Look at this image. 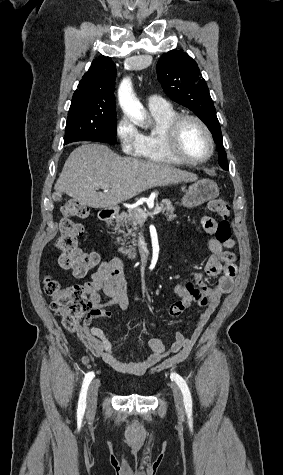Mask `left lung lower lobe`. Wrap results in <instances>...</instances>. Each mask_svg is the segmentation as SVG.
<instances>
[{"label":"left lung lower lobe","instance_id":"left-lung-lower-lobe-1","mask_svg":"<svg viewBox=\"0 0 283 475\" xmlns=\"http://www.w3.org/2000/svg\"><path fill=\"white\" fill-rule=\"evenodd\" d=\"M215 143L217 144V151L219 152V164L224 170H229L227 155L224 150L222 138L213 136Z\"/></svg>","mask_w":283,"mask_h":475}]
</instances>
